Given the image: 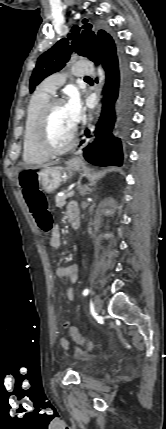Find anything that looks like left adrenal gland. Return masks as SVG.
Here are the masks:
<instances>
[{"mask_svg": "<svg viewBox=\"0 0 166 429\" xmlns=\"http://www.w3.org/2000/svg\"><path fill=\"white\" fill-rule=\"evenodd\" d=\"M80 188V193H81V195L82 196H84L85 195V193H86V189L85 188H83V187H79Z\"/></svg>", "mask_w": 166, "mask_h": 429, "instance_id": "a2214340", "label": "left adrenal gland"}]
</instances>
